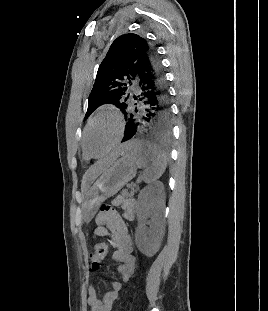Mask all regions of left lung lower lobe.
Masks as SVG:
<instances>
[{"label":"left lung lower lobe","instance_id":"0a47b994","mask_svg":"<svg viewBox=\"0 0 268 311\" xmlns=\"http://www.w3.org/2000/svg\"><path fill=\"white\" fill-rule=\"evenodd\" d=\"M136 85L135 110L126 120L122 142L168 141L172 119L169 95L161 61L152 49L149 58L140 63Z\"/></svg>","mask_w":268,"mask_h":311}]
</instances>
